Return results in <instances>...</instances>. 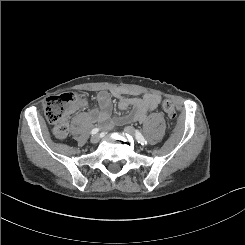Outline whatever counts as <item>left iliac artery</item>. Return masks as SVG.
Returning <instances> with one entry per match:
<instances>
[{
	"mask_svg": "<svg viewBox=\"0 0 245 245\" xmlns=\"http://www.w3.org/2000/svg\"><path fill=\"white\" fill-rule=\"evenodd\" d=\"M135 137L139 143H141L142 145H147V141L138 130L135 131Z\"/></svg>",
	"mask_w": 245,
	"mask_h": 245,
	"instance_id": "obj_1",
	"label": "left iliac artery"
}]
</instances>
